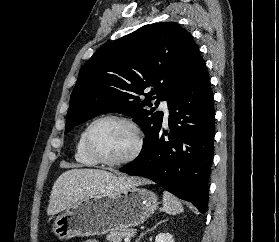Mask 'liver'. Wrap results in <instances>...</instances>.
Wrapping results in <instances>:
<instances>
[{"instance_id": "1", "label": "liver", "mask_w": 279, "mask_h": 242, "mask_svg": "<svg viewBox=\"0 0 279 242\" xmlns=\"http://www.w3.org/2000/svg\"><path fill=\"white\" fill-rule=\"evenodd\" d=\"M139 177H126L98 169H71L55 181L47 207V215L57 214L74 202L99 193L117 191L146 184Z\"/></svg>"}]
</instances>
